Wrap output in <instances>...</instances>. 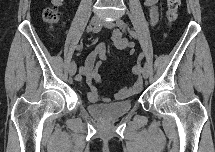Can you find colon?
I'll list each match as a JSON object with an SVG mask.
<instances>
[{
  "label": "colon",
  "instance_id": "colon-1",
  "mask_svg": "<svg viewBox=\"0 0 215 152\" xmlns=\"http://www.w3.org/2000/svg\"><path fill=\"white\" fill-rule=\"evenodd\" d=\"M62 0H53L51 6H48L43 11L44 21L50 25L54 26L59 20V9L62 5ZM180 0H167L166 2V20L169 24L173 23L178 17V9L180 7ZM132 73L135 76H139L141 73L140 63H136L132 68Z\"/></svg>",
  "mask_w": 215,
  "mask_h": 152
}]
</instances>
